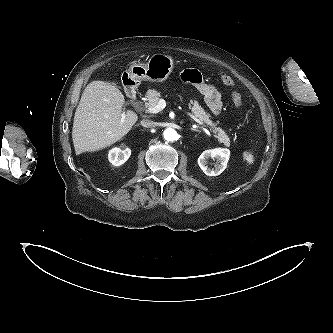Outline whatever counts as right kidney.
Instances as JSON below:
<instances>
[{
    "mask_svg": "<svg viewBox=\"0 0 333 333\" xmlns=\"http://www.w3.org/2000/svg\"><path fill=\"white\" fill-rule=\"evenodd\" d=\"M131 150L129 148L121 149L114 147L108 152V160L114 166L124 164L130 157Z\"/></svg>",
    "mask_w": 333,
    "mask_h": 333,
    "instance_id": "1",
    "label": "right kidney"
}]
</instances>
